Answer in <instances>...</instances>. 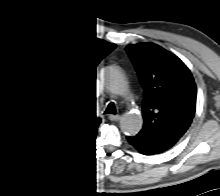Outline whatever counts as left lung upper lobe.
Listing matches in <instances>:
<instances>
[{
	"instance_id": "left-lung-upper-lobe-1",
	"label": "left lung upper lobe",
	"mask_w": 220,
	"mask_h": 196,
	"mask_svg": "<svg viewBox=\"0 0 220 196\" xmlns=\"http://www.w3.org/2000/svg\"><path fill=\"white\" fill-rule=\"evenodd\" d=\"M145 89L144 127L139 134L171 148L190 126L196 110V85L186 65L152 43L126 47Z\"/></svg>"
}]
</instances>
